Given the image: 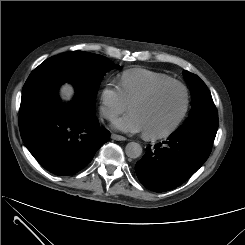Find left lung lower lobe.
Returning a JSON list of instances; mask_svg holds the SVG:
<instances>
[{
    "instance_id": "left-lung-lower-lobe-1",
    "label": "left lung lower lobe",
    "mask_w": 245,
    "mask_h": 245,
    "mask_svg": "<svg viewBox=\"0 0 245 245\" xmlns=\"http://www.w3.org/2000/svg\"><path fill=\"white\" fill-rule=\"evenodd\" d=\"M213 140L195 132L172 133L164 145L146 148V154L136 163L138 179L155 192L178 187L205 163Z\"/></svg>"
}]
</instances>
